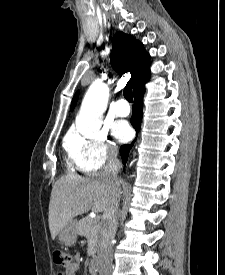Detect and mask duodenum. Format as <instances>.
<instances>
[{"instance_id": "duodenum-1", "label": "duodenum", "mask_w": 225, "mask_h": 275, "mask_svg": "<svg viewBox=\"0 0 225 275\" xmlns=\"http://www.w3.org/2000/svg\"><path fill=\"white\" fill-rule=\"evenodd\" d=\"M90 275H95L96 273V258L92 257L89 264Z\"/></svg>"}]
</instances>
